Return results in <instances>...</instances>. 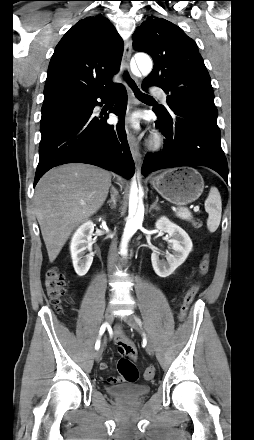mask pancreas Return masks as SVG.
Masks as SVG:
<instances>
[{
  "label": "pancreas",
  "instance_id": "pancreas-1",
  "mask_svg": "<svg viewBox=\"0 0 254 440\" xmlns=\"http://www.w3.org/2000/svg\"><path fill=\"white\" fill-rule=\"evenodd\" d=\"M193 226H194L195 228H199V227H201V224L196 223V222H193Z\"/></svg>",
  "mask_w": 254,
  "mask_h": 440
}]
</instances>
